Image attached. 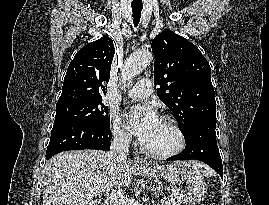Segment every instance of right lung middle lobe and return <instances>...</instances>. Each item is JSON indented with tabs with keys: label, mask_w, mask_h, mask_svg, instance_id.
I'll return each mask as SVG.
<instances>
[{
	"label": "right lung middle lobe",
	"mask_w": 269,
	"mask_h": 205,
	"mask_svg": "<svg viewBox=\"0 0 269 205\" xmlns=\"http://www.w3.org/2000/svg\"><path fill=\"white\" fill-rule=\"evenodd\" d=\"M62 122H83L109 128L108 107L102 100L57 106L54 124Z\"/></svg>",
	"instance_id": "right-lung-middle-lobe-1"
}]
</instances>
